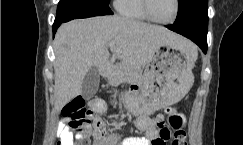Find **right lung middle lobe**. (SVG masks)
Returning a JSON list of instances; mask_svg holds the SVG:
<instances>
[{"instance_id":"obj_1","label":"right lung middle lobe","mask_w":243,"mask_h":145,"mask_svg":"<svg viewBox=\"0 0 243 145\" xmlns=\"http://www.w3.org/2000/svg\"><path fill=\"white\" fill-rule=\"evenodd\" d=\"M96 1L103 3L105 5H109V0H96Z\"/></svg>"}]
</instances>
